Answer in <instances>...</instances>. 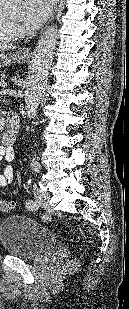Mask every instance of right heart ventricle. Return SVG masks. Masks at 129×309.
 <instances>
[{
	"mask_svg": "<svg viewBox=\"0 0 129 309\" xmlns=\"http://www.w3.org/2000/svg\"><path fill=\"white\" fill-rule=\"evenodd\" d=\"M16 36V31L11 27L8 18L0 6V45L12 43L16 39Z\"/></svg>",
	"mask_w": 129,
	"mask_h": 309,
	"instance_id": "right-heart-ventricle-1",
	"label": "right heart ventricle"
}]
</instances>
